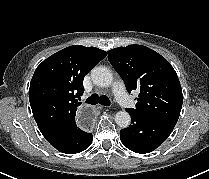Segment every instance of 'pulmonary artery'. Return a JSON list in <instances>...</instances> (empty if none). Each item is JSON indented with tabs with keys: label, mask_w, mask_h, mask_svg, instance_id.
<instances>
[{
	"label": "pulmonary artery",
	"mask_w": 209,
	"mask_h": 179,
	"mask_svg": "<svg viewBox=\"0 0 209 179\" xmlns=\"http://www.w3.org/2000/svg\"><path fill=\"white\" fill-rule=\"evenodd\" d=\"M113 93L117 102L125 107L131 108L133 106V101L130 96L127 94L124 84L121 81H116L113 85Z\"/></svg>",
	"instance_id": "pulmonary-artery-1"
}]
</instances>
